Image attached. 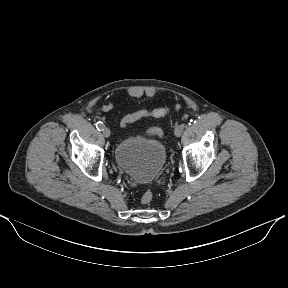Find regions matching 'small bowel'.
Segmentation results:
<instances>
[{
    "instance_id": "c3829d8e",
    "label": "small bowel",
    "mask_w": 288,
    "mask_h": 288,
    "mask_svg": "<svg viewBox=\"0 0 288 288\" xmlns=\"http://www.w3.org/2000/svg\"><path fill=\"white\" fill-rule=\"evenodd\" d=\"M112 108H113V103H112L111 101H108L106 104L102 105L99 110H100L101 112H108V111H110ZM121 126H122V127H125L122 123H121Z\"/></svg>"
}]
</instances>
